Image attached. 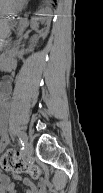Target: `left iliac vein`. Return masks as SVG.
Segmentation results:
<instances>
[{"label": "left iliac vein", "instance_id": "left-iliac-vein-1", "mask_svg": "<svg viewBox=\"0 0 103 193\" xmlns=\"http://www.w3.org/2000/svg\"><path fill=\"white\" fill-rule=\"evenodd\" d=\"M33 154V145L32 143L26 141L25 143V155L26 157H30Z\"/></svg>", "mask_w": 103, "mask_h": 193}]
</instances>
